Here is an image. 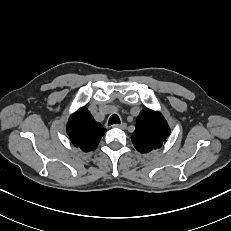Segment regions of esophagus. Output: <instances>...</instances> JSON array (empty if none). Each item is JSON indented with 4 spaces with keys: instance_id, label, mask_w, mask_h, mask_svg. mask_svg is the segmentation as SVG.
Here are the masks:
<instances>
[{
    "instance_id": "1",
    "label": "esophagus",
    "mask_w": 231,
    "mask_h": 231,
    "mask_svg": "<svg viewBox=\"0 0 231 231\" xmlns=\"http://www.w3.org/2000/svg\"><path fill=\"white\" fill-rule=\"evenodd\" d=\"M126 123H121V124H115L112 127L114 128H120V129H125L126 128Z\"/></svg>"
}]
</instances>
